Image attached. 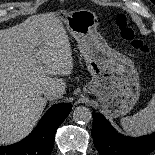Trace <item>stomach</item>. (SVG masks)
Instances as JSON below:
<instances>
[{
	"mask_svg": "<svg viewBox=\"0 0 155 155\" xmlns=\"http://www.w3.org/2000/svg\"><path fill=\"white\" fill-rule=\"evenodd\" d=\"M63 24L77 41L92 79L84 93L93 94L113 117L127 114L137 103L140 84L132 60L109 47L97 31V18L89 12L65 15Z\"/></svg>",
	"mask_w": 155,
	"mask_h": 155,
	"instance_id": "0dacf381",
	"label": "stomach"
}]
</instances>
